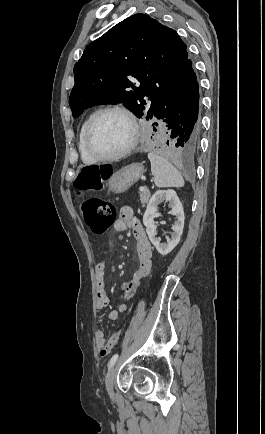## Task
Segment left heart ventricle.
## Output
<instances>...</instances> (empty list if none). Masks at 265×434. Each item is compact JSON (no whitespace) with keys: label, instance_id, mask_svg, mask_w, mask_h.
<instances>
[{"label":"left heart ventricle","instance_id":"left-heart-ventricle-1","mask_svg":"<svg viewBox=\"0 0 265 434\" xmlns=\"http://www.w3.org/2000/svg\"><path fill=\"white\" fill-rule=\"evenodd\" d=\"M132 134V125L126 115L118 111L108 112L96 124L94 146L105 155L117 154L128 147Z\"/></svg>","mask_w":265,"mask_h":434}]
</instances>
